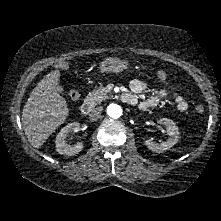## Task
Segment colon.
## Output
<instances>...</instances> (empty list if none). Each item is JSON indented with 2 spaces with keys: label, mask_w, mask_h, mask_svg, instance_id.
<instances>
[{
  "label": "colon",
  "mask_w": 221,
  "mask_h": 221,
  "mask_svg": "<svg viewBox=\"0 0 221 221\" xmlns=\"http://www.w3.org/2000/svg\"><path fill=\"white\" fill-rule=\"evenodd\" d=\"M160 71H162V70H160ZM160 71H158V73H157L158 78L161 81H166L168 79V74L164 71L166 73L165 76L164 77H160L159 76V72ZM69 97H70L71 100L75 101V100H77L79 98V93L77 91H75V90H72L69 93ZM203 111H204V108L202 106H197L196 107V112L197 113L201 114V113H203Z\"/></svg>",
  "instance_id": "5ec220e1"
}]
</instances>
